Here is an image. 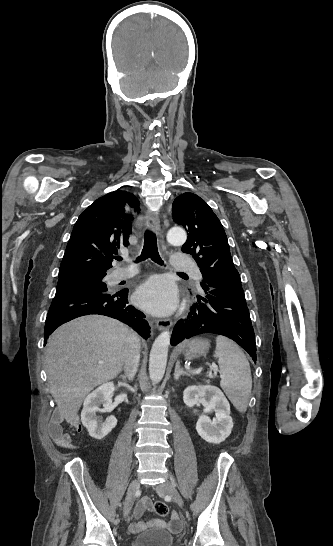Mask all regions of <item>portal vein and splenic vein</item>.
<instances>
[{
  "label": "portal vein and splenic vein",
  "mask_w": 333,
  "mask_h": 546,
  "mask_svg": "<svg viewBox=\"0 0 333 546\" xmlns=\"http://www.w3.org/2000/svg\"><path fill=\"white\" fill-rule=\"evenodd\" d=\"M99 363L101 364L102 362H99ZM212 367L215 369V372H217V369H218L217 366L213 364Z\"/></svg>",
  "instance_id": "1"
}]
</instances>
